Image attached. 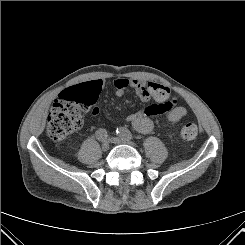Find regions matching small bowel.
<instances>
[{
	"label": "small bowel",
	"instance_id": "obj_1",
	"mask_svg": "<svg viewBox=\"0 0 245 245\" xmlns=\"http://www.w3.org/2000/svg\"><path fill=\"white\" fill-rule=\"evenodd\" d=\"M102 86L100 80H96ZM115 96L122 97L126 90L132 88L143 101L154 100L155 103L141 111L132 113L126 117V121L141 133H149L154 129L155 123L152 117L164 114L170 123H176L187 116L188 111L183 106L176 105V100L171 96L169 88L158 83L148 82L137 78H118L113 82ZM100 109L94 106L93 115H98Z\"/></svg>",
	"mask_w": 245,
	"mask_h": 245
}]
</instances>
